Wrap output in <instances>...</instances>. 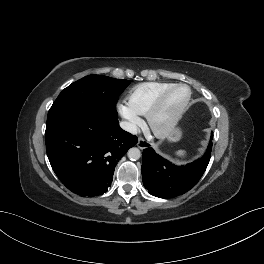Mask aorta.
Returning a JSON list of instances; mask_svg holds the SVG:
<instances>
[{
    "label": "aorta",
    "mask_w": 264,
    "mask_h": 264,
    "mask_svg": "<svg viewBox=\"0 0 264 264\" xmlns=\"http://www.w3.org/2000/svg\"><path fill=\"white\" fill-rule=\"evenodd\" d=\"M141 157V152L138 148L133 147L128 151V158L130 160H138Z\"/></svg>",
    "instance_id": "obj_1"
}]
</instances>
